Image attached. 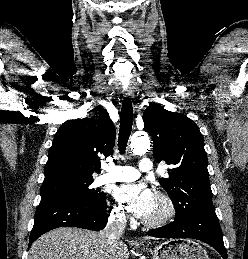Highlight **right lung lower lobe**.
<instances>
[{"instance_id": "right-lung-lower-lobe-1", "label": "right lung lower lobe", "mask_w": 248, "mask_h": 259, "mask_svg": "<svg viewBox=\"0 0 248 259\" xmlns=\"http://www.w3.org/2000/svg\"><path fill=\"white\" fill-rule=\"evenodd\" d=\"M110 211L106 200L97 203L67 197L41 198L36 209L29 246L44 233L58 227L101 230L106 226L107 212Z\"/></svg>"}]
</instances>
